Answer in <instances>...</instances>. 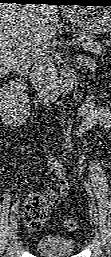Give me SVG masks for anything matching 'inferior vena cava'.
Wrapping results in <instances>:
<instances>
[{
    "label": "inferior vena cava",
    "instance_id": "obj_1",
    "mask_svg": "<svg viewBox=\"0 0 111 257\" xmlns=\"http://www.w3.org/2000/svg\"><path fill=\"white\" fill-rule=\"evenodd\" d=\"M31 58L34 62V75L39 79V84L43 85L47 76V51L43 43H37L32 48Z\"/></svg>",
    "mask_w": 111,
    "mask_h": 257
}]
</instances>
